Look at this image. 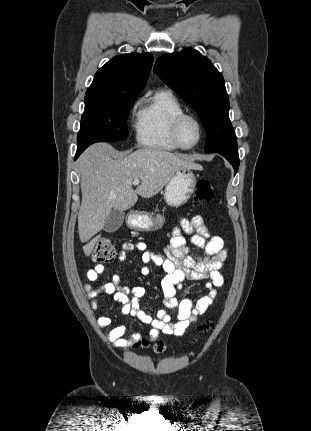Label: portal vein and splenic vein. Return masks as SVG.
<instances>
[{
    "label": "portal vein and splenic vein",
    "mask_w": 311,
    "mask_h": 431,
    "mask_svg": "<svg viewBox=\"0 0 311 431\" xmlns=\"http://www.w3.org/2000/svg\"><path fill=\"white\" fill-rule=\"evenodd\" d=\"M133 186H139L140 184V180H134V182H132Z\"/></svg>",
    "instance_id": "1"
}]
</instances>
